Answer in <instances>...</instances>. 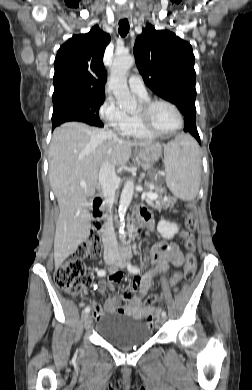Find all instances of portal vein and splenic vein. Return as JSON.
<instances>
[{
    "mask_svg": "<svg viewBox=\"0 0 252 390\" xmlns=\"http://www.w3.org/2000/svg\"><path fill=\"white\" fill-rule=\"evenodd\" d=\"M80 185L82 187L86 186V183L85 182H81ZM145 196H147L148 198H152V199H156L157 198V195L154 194V193H143L142 197L144 198Z\"/></svg>",
    "mask_w": 252,
    "mask_h": 390,
    "instance_id": "portal-vein-and-splenic-vein-1",
    "label": "portal vein and splenic vein"
}]
</instances>
